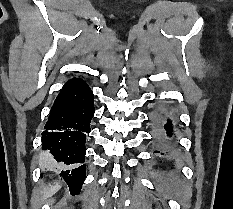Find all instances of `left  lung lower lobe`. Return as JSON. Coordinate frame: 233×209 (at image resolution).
Wrapping results in <instances>:
<instances>
[{"label": "left lung lower lobe", "mask_w": 233, "mask_h": 209, "mask_svg": "<svg viewBox=\"0 0 233 209\" xmlns=\"http://www.w3.org/2000/svg\"><path fill=\"white\" fill-rule=\"evenodd\" d=\"M160 119L165 122L164 128L167 132V136H171L172 128H173L171 120L168 117H166L165 115H161ZM161 148H162V152H159L158 158L163 164H169L170 160L173 156V154L171 152V148H172L171 140L170 139H168V140L163 139L162 143H161Z\"/></svg>", "instance_id": "left-lung-lower-lobe-1"}]
</instances>
